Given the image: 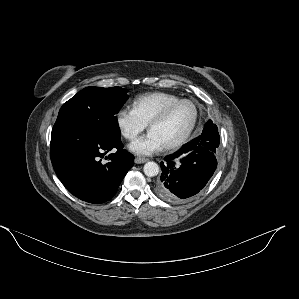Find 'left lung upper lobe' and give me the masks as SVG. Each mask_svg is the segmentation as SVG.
Instances as JSON below:
<instances>
[{"mask_svg":"<svg viewBox=\"0 0 299 299\" xmlns=\"http://www.w3.org/2000/svg\"><path fill=\"white\" fill-rule=\"evenodd\" d=\"M203 133L206 134L208 141H210L211 144L214 146V152L217 154L219 146V133L217 126L213 124L211 120H209L203 129L202 134Z\"/></svg>","mask_w":299,"mask_h":299,"instance_id":"5c2ea615","label":"left lung upper lobe"}]
</instances>
